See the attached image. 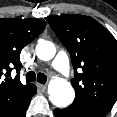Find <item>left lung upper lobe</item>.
Segmentation results:
<instances>
[{"mask_svg": "<svg viewBox=\"0 0 117 117\" xmlns=\"http://www.w3.org/2000/svg\"><path fill=\"white\" fill-rule=\"evenodd\" d=\"M46 20L71 55L73 103L108 111L117 100L116 39L88 16L52 15Z\"/></svg>", "mask_w": 117, "mask_h": 117, "instance_id": "1", "label": "left lung upper lobe"}]
</instances>
